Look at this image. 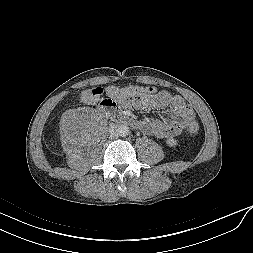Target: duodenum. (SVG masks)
Returning <instances> with one entry per match:
<instances>
[{
  "label": "duodenum",
  "instance_id": "1",
  "mask_svg": "<svg viewBox=\"0 0 253 253\" xmlns=\"http://www.w3.org/2000/svg\"><path fill=\"white\" fill-rule=\"evenodd\" d=\"M105 112L117 123L129 125L134 128L140 127V123L128 115L121 114L113 109H106Z\"/></svg>",
  "mask_w": 253,
  "mask_h": 253
}]
</instances>
